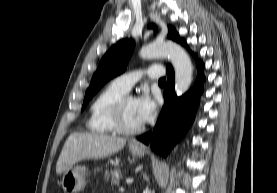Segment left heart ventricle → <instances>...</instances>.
<instances>
[{
  "instance_id": "1",
  "label": "left heart ventricle",
  "mask_w": 277,
  "mask_h": 193,
  "mask_svg": "<svg viewBox=\"0 0 277 193\" xmlns=\"http://www.w3.org/2000/svg\"><path fill=\"white\" fill-rule=\"evenodd\" d=\"M124 120L128 126L134 127L142 124L135 110V99L128 98L124 104Z\"/></svg>"
}]
</instances>
